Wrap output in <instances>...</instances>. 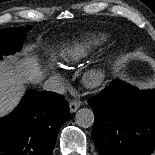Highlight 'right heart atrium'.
<instances>
[{"label": "right heart atrium", "instance_id": "right-heart-atrium-1", "mask_svg": "<svg viewBox=\"0 0 155 155\" xmlns=\"http://www.w3.org/2000/svg\"><path fill=\"white\" fill-rule=\"evenodd\" d=\"M53 79L59 84L63 83L62 77L57 72H53Z\"/></svg>", "mask_w": 155, "mask_h": 155}]
</instances>
